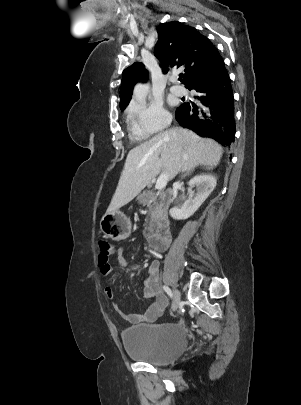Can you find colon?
<instances>
[{
	"mask_svg": "<svg viewBox=\"0 0 301 405\" xmlns=\"http://www.w3.org/2000/svg\"><path fill=\"white\" fill-rule=\"evenodd\" d=\"M98 248L101 256L107 257L110 253L111 246L105 240H100L98 242Z\"/></svg>",
	"mask_w": 301,
	"mask_h": 405,
	"instance_id": "obj_1",
	"label": "colon"
}]
</instances>
